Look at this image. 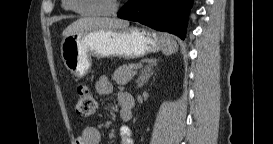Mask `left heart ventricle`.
I'll return each instance as SVG.
<instances>
[{"label":"left heart ventricle","instance_id":"b2bd125f","mask_svg":"<svg viewBox=\"0 0 273 144\" xmlns=\"http://www.w3.org/2000/svg\"><path fill=\"white\" fill-rule=\"evenodd\" d=\"M76 5L83 10H103L110 7L114 0H76Z\"/></svg>","mask_w":273,"mask_h":144}]
</instances>
